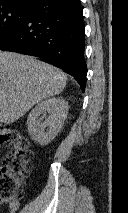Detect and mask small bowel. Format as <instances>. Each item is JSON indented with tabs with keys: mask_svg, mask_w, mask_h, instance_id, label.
Instances as JSON below:
<instances>
[{
	"mask_svg": "<svg viewBox=\"0 0 128 213\" xmlns=\"http://www.w3.org/2000/svg\"><path fill=\"white\" fill-rule=\"evenodd\" d=\"M18 209H19V201L13 200L8 203L7 210L5 213H17Z\"/></svg>",
	"mask_w": 128,
	"mask_h": 213,
	"instance_id": "c3829d8e",
	"label": "small bowel"
}]
</instances>
